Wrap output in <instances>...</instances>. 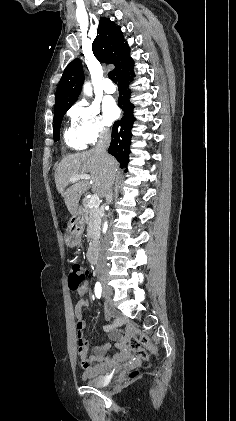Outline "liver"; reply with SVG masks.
Instances as JSON below:
<instances>
[{
    "mask_svg": "<svg viewBox=\"0 0 236 421\" xmlns=\"http://www.w3.org/2000/svg\"><path fill=\"white\" fill-rule=\"evenodd\" d=\"M119 162L111 154H102L96 152L95 148L86 150V152H76V154H68L60 160L55 170V182L58 192L64 198V202L68 208L70 215H77L78 204L81 194L86 192L91 186V190L98 192L99 196L106 194L109 188ZM90 172V180L87 178H79L76 182L70 184L71 176L76 174H88ZM68 186V188H66Z\"/></svg>",
    "mask_w": 236,
    "mask_h": 421,
    "instance_id": "1",
    "label": "liver"
}]
</instances>
